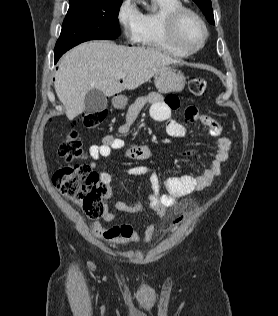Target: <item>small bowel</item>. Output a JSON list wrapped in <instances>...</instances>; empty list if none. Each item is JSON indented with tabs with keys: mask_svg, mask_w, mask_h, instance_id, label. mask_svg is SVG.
<instances>
[{
	"mask_svg": "<svg viewBox=\"0 0 278 316\" xmlns=\"http://www.w3.org/2000/svg\"><path fill=\"white\" fill-rule=\"evenodd\" d=\"M146 105L150 106L149 112L153 120L166 123V132L170 136L184 138L187 135L186 127L171 118V111L180 105L179 99L173 95L164 99L161 94L156 92L138 98L129 107L126 119L119 127V133L127 134L130 131L133 123ZM185 118L189 122L203 124L209 129L211 136L217 138L216 153L209 167L198 176L181 175L167 178L164 183L166 193L161 192V181L158 175L148 167L136 165L127 171L130 176H149L151 187L149 205L160 219L164 218L167 208L173 206L179 198L210 187L214 179L221 174V167L227 161L231 149V141L221 136V125L211 116L201 113L196 106L190 105L185 109ZM115 150H124L127 158L136 161L147 160L152 156L150 148L145 145L128 146L122 138L106 135L101 144H92L88 148L89 156L92 159L90 168L95 169L98 160L111 156ZM100 180L106 185L108 191L112 190L113 183L110 173L101 172ZM115 208L122 212L138 214L144 210V205L142 202L117 201ZM102 219L106 223H113L117 217L106 207ZM91 229L98 239L110 245H131L140 240L149 242L154 234L155 225H148L142 236L133 225L128 223L103 227L99 222H93Z\"/></svg>",
	"mask_w": 278,
	"mask_h": 316,
	"instance_id": "obj_1",
	"label": "small bowel"
}]
</instances>
